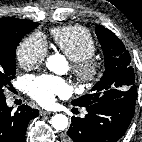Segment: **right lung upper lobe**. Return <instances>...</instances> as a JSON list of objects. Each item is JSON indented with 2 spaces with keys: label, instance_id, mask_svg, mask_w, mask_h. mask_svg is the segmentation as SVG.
<instances>
[{
  "label": "right lung upper lobe",
  "instance_id": "obj_1",
  "mask_svg": "<svg viewBox=\"0 0 142 142\" xmlns=\"http://www.w3.org/2000/svg\"><path fill=\"white\" fill-rule=\"evenodd\" d=\"M28 23H33V22H29V21L21 20V19H16V18H11V17L2 18V19H0V33L7 32L11 29L26 25Z\"/></svg>",
  "mask_w": 142,
  "mask_h": 142
}]
</instances>
